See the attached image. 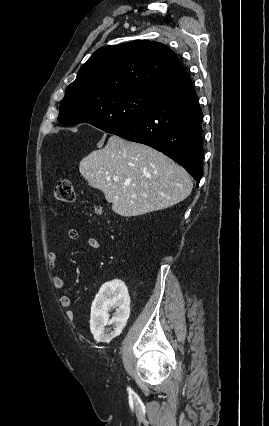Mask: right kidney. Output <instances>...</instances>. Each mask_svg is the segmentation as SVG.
Returning <instances> with one entry per match:
<instances>
[{"label":"right kidney","mask_w":269,"mask_h":426,"mask_svg":"<svg viewBox=\"0 0 269 426\" xmlns=\"http://www.w3.org/2000/svg\"><path fill=\"white\" fill-rule=\"evenodd\" d=\"M129 304L128 290L122 281H112L102 286L91 307L90 330L96 341L108 342L112 338L105 326L112 323L119 326L129 311ZM111 308H116V312L109 320Z\"/></svg>","instance_id":"right-kidney-1"}]
</instances>
